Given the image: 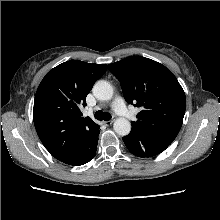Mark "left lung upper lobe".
Returning a JSON list of instances; mask_svg holds the SVG:
<instances>
[{"label": "left lung upper lobe", "instance_id": "5c2ea615", "mask_svg": "<svg viewBox=\"0 0 220 220\" xmlns=\"http://www.w3.org/2000/svg\"><path fill=\"white\" fill-rule=\"evenodd\" d=\"M120 81L129 104L140 107L132 131L157 144L170 145L182 126L186 109L185 93L173 73L162 64L131 56L108 65Z\"/></svg>", "mask_w": 220, "mask_h": 220}]
</instances>
